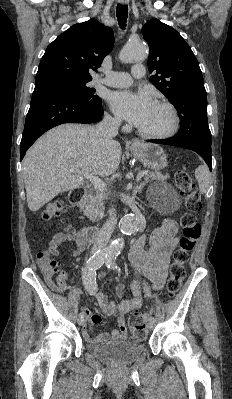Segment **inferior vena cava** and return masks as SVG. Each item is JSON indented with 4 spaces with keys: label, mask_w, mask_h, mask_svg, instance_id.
I'll return each instance as SVG.
<instances>
[{
    "label": "inferior vena cava",
    "mask_w": 232,
    "mask_h": 399,
    "mask_svg": "<svg viewBox=\"0 0 232 399\" xmlns=\"http://www.w3.org/2000/svg\"><path fill=\"white\" fill-rule=\"evenodd\" d=\"M121 126V120H114L111 116H104L103 122L98 124V130L100 134H102V138L104 142H113V138L118 134V128ZM109 217L104 223L103 227L100 229L99 237H97V241L95 242L94 246L91 248L92 255L95 250L105 248L109 239L110 235L116 225V209L115 207H111L108 209Z\"/></svg>",
    "instance_id": "obj_1"
}]
</instances>
